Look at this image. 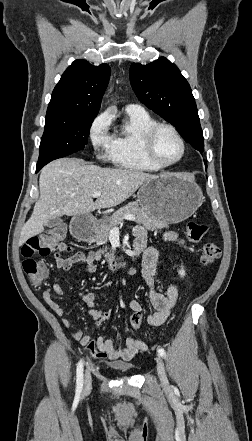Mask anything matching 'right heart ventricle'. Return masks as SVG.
Instances as JSON below:
<instances>
[{"label":"right heart ventricle","mask_w":252,"mask_h":441,"mask_svg":"<svg viewBox=\"0 0 252 441\" xmlns=\"http://www.w3.org/2000/svg\"><path fill=\"white\" fill-rule=\"evenodd\" d=\"M124 125L113 136L112 160L118 167L139 171L156 172L160 168L148 160L143 150V136L156 123L147 112H127Z\"/></svg>","instance_id":"e07e8e85"}]
</instances>
